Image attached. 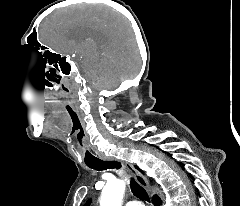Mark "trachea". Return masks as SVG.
<instances>
[{
	"label": "trachea",
	"instance_id": "3493384b",
	"mask_svg": "<svg viewBox=\"0 0 240 206\" xmlns=\"http://www.w3.org/2000/svg\"><path fill=\"white\" fill-rule=\"evenodd\" d=\"M87 166L98 171L121 168L120 162L117 161L108 162L101 159H97L93 162L87 163ZM130 188L136 197H139L140 199L145 201H149V197L146 190L141 185H139L134 179L130 180Z\"/></svg>",
	"mask_w": 240,
	"mask_h": 206
}]
</instances>
